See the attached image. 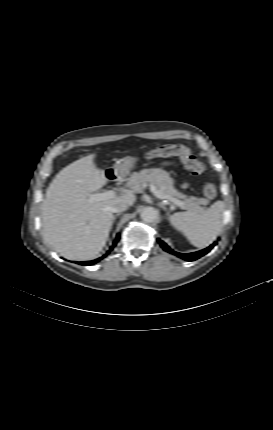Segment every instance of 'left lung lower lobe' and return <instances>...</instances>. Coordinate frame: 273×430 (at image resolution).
<instances>
[{
	"label": "left lung lower lobe",
	"mask_w": 273,
	"mask_h": 430,
	"mask_svg": "<svg viewBox=\"0 0 273 430\" xmlns=\"http://www.w3.org/2000/svg\"><path fill=\"white\" fill-rule=\"evenodd\" d=\"M157 241H158V243L160 244V246L165 250V251H167V252H169V253H171V254H174V255H176V256H178V257H180V258H182V259H184V260H187V261H194V260H196V259H198V258H200V257H202L203 255H205V254H207L213 247H214V245L215 244H217L216 242H214L212 245H210L209 247H207V248H205V249H203V250H200V251H197V252H193V253H189V254H182V253H178V252H175V251H173L166 243H164L162 240H160V239H157Z\"/></svg>",
	"instance_id": "obj_1"
}]
</instances>
